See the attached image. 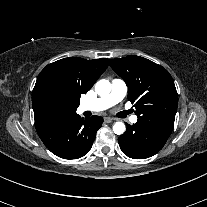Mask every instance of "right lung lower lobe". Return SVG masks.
I'll use <instances>...</instances> for the list:
<instances>
[{
    "label": "right lung lower lobe",
    "instance_id": "obj_1",
    "mask_svg": "<svg viewBox=\"0 0 207 207\" xmlns=\"http://www.w3.org/2000/svg\"><path fill=\"white\" fill-rule=\"evenodd\" d=\"M103 118H81L75 112L56 115L35 123L37 133L45 146L64 159H77L91 149Z\"/></svg>",
    "mask_w": 207,
    "mask_h": 207
}]
</instances>
